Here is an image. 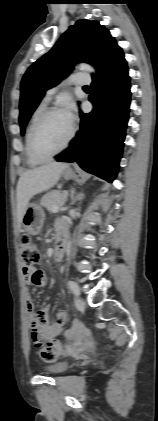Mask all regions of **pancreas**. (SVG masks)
I'll return each mask as SVG.
<instances>
[{
	"instance_id": "cf45deb5",
	"label": "pancreas",
	"mask_w": 158,
	"mask_h": 421,
	"mask_svg": "<svg viewBox=\"0 0 158 421\" xmlns=\"http://www.w3.org/2000/svg\"><path fill=\"white\" fill-rule=\"evenodd\" d=\"M66 192L51 191L44 195L41 199V205L47 208L48 211L53 210L55 207H60L66 201Z\"/></svg>"
}]
</instances>
